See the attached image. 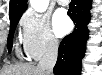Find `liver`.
<instances>
[{
	"label": "liver",
	"mask_w": 102,
	"mask_h": 75,
	"mask_svg": "<svg viewBox=\"0 0 102 75\" xmlns=\"http://www.w3.org/2000/svg\"><path fill=\"white\" fill-rule=\"evenodd\" d=\"M0 75H47L38 66L29 64H19L5 66L0 70Z\"/></svg>",
	"instance_id": "obj_1"
}]
</instances>
